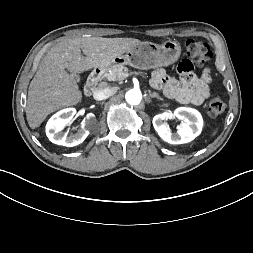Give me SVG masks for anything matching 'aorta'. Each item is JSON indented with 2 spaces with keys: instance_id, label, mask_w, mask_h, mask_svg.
<instances>
[{
  "instance_id": "1",
  "label": "aorta",
  "mask_w": 253,
  "mask_h": 253,
  "mask_svg": "<svg viewBox=\"0 0 253 253\" xmlns=\"http://www.w3.org/2000/svg\"><path fill=\"white\" fill-rule=\"evenodd\" d=\"M125 98L130 105H138L142 100V93L139 89H130L126 92Z\"/></svg>"
}]
</instances>
